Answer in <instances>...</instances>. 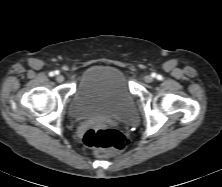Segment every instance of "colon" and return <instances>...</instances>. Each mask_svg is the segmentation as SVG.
Instances as JSON below:
<instances>
[{"label": "colon", "instance_id": "obj_1", "mask_svg": "<svg viewBox=\"0 0 222 187\" xmlns=\"http://www.w3.org/2000/svg\"><path fill=\"white\" fill-rule=\"evenodd\" d=\"M83 142L92 148L97 156L123 151L128 144L122 132L104 124L87 129L83 135Z\"/></svg>", "mask_w": 222, "mask_h": 187}]
</instances>
